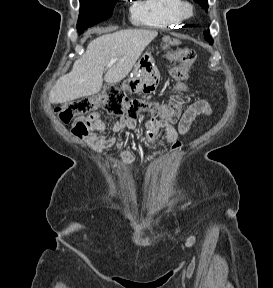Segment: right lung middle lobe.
Returning <instances> with one entry per match:
<instances>
[{"label":"right lung middle lobe","mask_w":273,"mask_h":288,"mask_svg":"<svg viewBox=\"0 0 273 288\" xmlns=\"http://www.w3.org/2000/svg\"><path fill=\"white\" fill-rule=\"evenodd\" d=\"M80 15L77 30L82 33L101 21L107 20L113 14L115 4L118 0H79Z\"/></svg>","instance_id":"right-lung-middle-lobe-1"}]
</instances>
